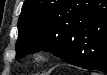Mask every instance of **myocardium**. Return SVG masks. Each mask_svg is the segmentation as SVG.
I'll return each mask as SVG.
<instances>
[{
    "instance_id": "1",
    "label": "myocardium",
    "mask_w": 107,
    "mask_h": 75,
    "mask_svg": "<svg viewBox=\"0 0 107 75\" xmlns=\"http://www.w3.org/2000/svg\"><path fill=\"white\" fill-rule=\"evenodd\" d=\"M32 61L36 63H42L48 60V54L42 50H36L30 54Z\"/></svg>"
}]
</instances>
